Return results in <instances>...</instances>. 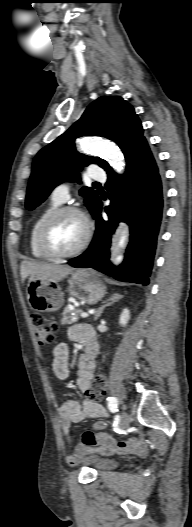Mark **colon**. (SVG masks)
Returning <instances> with one entry per match:
<instances>
[{
  "label": "colon",
  "instance_id": "obj_1",
  "mask_svg": "<svg viewBox=\"0 0 192 527\" xmlns=\"http://www.w3.org/2000/svg\"><path fill=\"white\" fill-rule=\"evenodd\" d=\"M32 323L35 335L41 345H51L54 343L59 329L56 322L41 315H34L32 317ZM104 387V377L101 375L95 377L90 397L93 400H98L103 394Z\"/></svg>",
  "mask_w": 192,
  "mask_h": 527
}]
</instances>
